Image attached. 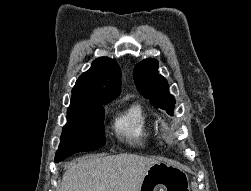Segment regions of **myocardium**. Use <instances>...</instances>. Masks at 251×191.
I'll list each match as a JSON object with an SVG mask.
<instances>
[{
  "label": "myocardium",
  "instance_id": "f54148a6",
  "mask_svg": "<svg viewBox=\"0 0 251 191\" xmlns=\"http://www.w3.org/2000/svg\"><path fill=\"white\" fill-rule=\"evenodd\" d=\"M157 138L161 147L168 148L173 143L174 134L169 130H160L157 132Z\"/></svg>",
  "mask_w": 251,
  "mask_h": 191
}]
</instances>
